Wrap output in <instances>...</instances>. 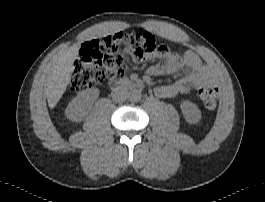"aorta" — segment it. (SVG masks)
Here are the masks:
<instances>
[{"mask_svg":"<svg viewBox=\"0 0 265 202\" xmlns=\"http://www.w3.org/2000/svg\"><path fill=\"white\" fill-rule=\"evenodd\" d=\"M141 92L139 90H132L129 94V100L132 102H138L141 99Z\"/></svg>","mask_w":265,"mask_h":202,"instance_id":"762f6f07","label":"aorta"}]
</instances>
